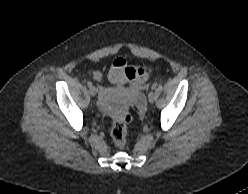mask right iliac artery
I'll return each instance as SVG.
<instances>
[{
  "mask_svg": "<svg viewBox=\"0 0 248 194\" xmlns=\"http://www.w3.org/2000/svg\"><path fill=\"white\" fill-rule=\"evenodd\" d=\"M87 86H88V87H91V86H92V82L88 81V82H87Z\"/></svg>",
  "mask_w": 248,
  "mask_h": 194,
  "instance_id": "obj_1",
  "label": "right iliac artery"
}]
</instances>
